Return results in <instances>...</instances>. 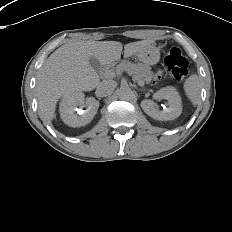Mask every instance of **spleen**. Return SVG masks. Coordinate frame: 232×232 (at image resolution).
Wrapping results in <instances>:
<instances>
[{
  "label": "spleen",
  "instance_id": "spleen-1",
  "mask_svg": "<svg viewBox=\"0 0 232 232\" xmlns=\"http://www.w3.org/2000/svg\"><path fill=\"white\" fill-rule=\"evenodd\" d=\"M184 92L193 105H197L201 99V82L197 74L190 75L184 82Z\"/></svg>",
  "mask_w": 232,
  "mask_h": 232
}]
</instances>
